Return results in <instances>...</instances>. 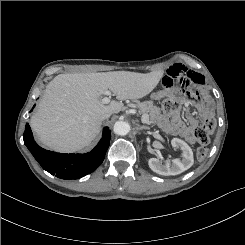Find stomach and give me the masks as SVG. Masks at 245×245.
<instances>
[{
  "label": "stomach",
  "mask_w": 245,
  "mask_h": 245,
  "mask_svg": "<svg viewBox=\"0 0 245 245\" xmlns=\"http://www.w3.org/2000/svg\"><path fill=\"white\" fill-rule=\"evenodd\" d=\"M163 96H164L163 91H158L151 94V99L160 100L161 98H163Z\"/></svg>",
  "instance_id": "stomach-1"
}]
</instances>
